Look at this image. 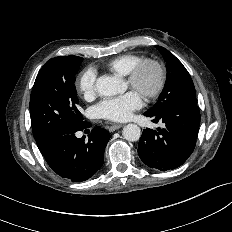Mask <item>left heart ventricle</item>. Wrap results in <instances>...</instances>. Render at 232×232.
Listing matches in <instances>:
<instances>
[{"label":"left heart ventricle","mask_w":232,"mask_h":232,"mask_svg":"<svg viewBox=\"0 0 232 232\" xmlns=\"http://www.w3.org/2000/svg\"><path fill=\"white\" fill-rule=\"evenodd\" d=\"M156 82V72L153 68H147L143 71L140 81H139V89L138 93H142L144 91L151 90Z\"/></svg>","instance_id":"left-heart-ventricle-1"}]
</instances>
